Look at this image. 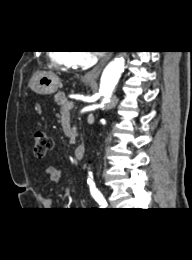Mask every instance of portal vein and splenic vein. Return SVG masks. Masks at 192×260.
I'll use <instances>...</instances> for the list:
<instances>
[{
    "label": "portal vein and splenic vein",
    "mask_w": 192,
    "mask_h": 260,
    "mask_svg": "<svg viewBox=\"0 0 192 260\" xmlns=\"http://www.w3.org/2000/svg\"><path fill=\"white\" fill-rule=\"evenodd\" d=\"M72 108H73V103L67 102L66 105H65V109L64 110H70Z\"/></svg>",
    "instance_id": "portal-vein-and-splenic-vein-1"
}]
</instances>
